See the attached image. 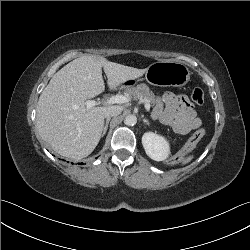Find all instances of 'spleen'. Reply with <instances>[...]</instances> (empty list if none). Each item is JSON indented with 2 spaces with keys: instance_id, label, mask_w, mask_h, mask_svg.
<instances>
[{
  "instance_id": "spleen-1",
  "label": "spleen",
  "mask_w": 250,
  "mask_h": 250,
  "mask_svg": "<svg viewBox=\"0 0 250 250\" xmlns=\"http://www.w3.org/2000/svg\"><path fill=\"white\" fill-rule=\"evenodd\" d=\"M193 158H194L193 155H189V156H187V157H180L178 161H179L180 163H182V164H187V163H189Z\"/></svg>"
}]
</instances>
